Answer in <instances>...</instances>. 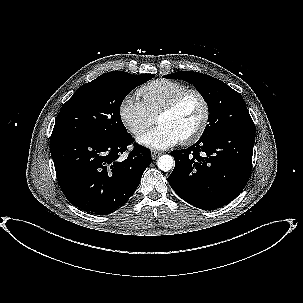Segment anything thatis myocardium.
Listing matches in <instances>:
<instances>
[{"label": "myocardium", "mask_w": 303, "mask_h": 303, "mask_svg": "<svg viewBox=\"0 0 303 303\" xmlns=\"http://www.w3.org/2000/svg\"><path fill=\"white\" fill-rule=\"evenodd\" d=\"M190 95H195L200 100L202 105V117L198 127L192 133L181 139V142L185 144L194 143L198 139H200L208 126L210 119V106L206 97L196 89H187L176 95L172 100H170L164 107L160 109V111L156 115L157 121L160 116L169 114L176 110L178 106L182 103V101Z\"/></svg>", "instance_id": "myocardium-1"}]
</instances>
